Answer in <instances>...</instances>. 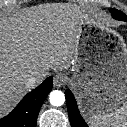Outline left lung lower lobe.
Segmentation results:
<instances>
[{"label": "left lung lower lobe", "mask_w": 127, "mask_h": 127, "mask_svg": "<svg viewBox=\"0 0 127 127\" xmlns=\"http://www.w3.org/2000/svg\"><path fill=\"white\" fill-rule=\"evenodd\" d=\"M67 110L72 127H88L79 113L76 100L72 92L68 89L65 91Z\"/></svg>", "instance_id": "left-lung-lower-lobe-1"}]
</instances>
